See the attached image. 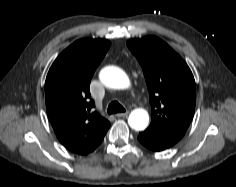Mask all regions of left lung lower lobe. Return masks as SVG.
Returning a JSON list of instances; mask_svg holds the SVG:
<instances>
[{"label":"left lung lower lobe","instance_id":"0a47b994","mask_svg":"<svg viewBox=\"0 0 236 187\" xmlns=\"http://www.w3.org/2000/svg\"><path fill=\"white\" fill-rule=\"evenodd\" d=\"M138 140L142 145L153 151H162L175 144L171 141L148 135L143 132L139 133Z\"/></svg>","mask_w":236,"mask_h":187}]
</instances>
